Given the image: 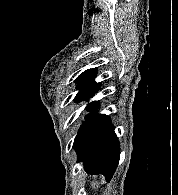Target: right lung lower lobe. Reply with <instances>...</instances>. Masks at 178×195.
<instances>
[{
	"label": "right lung lower lobe",
	"instance_id": "right-lung-lower-lobe-1",
	"mask_svg": "<svg viewBox=\"0 0 178 195\" xmlns=\"http://www.w3.org/2000/svg\"><path fill=\"white\" fill-rule=\"evenodd\" d=\"M99 104L95 102L75 137L73 148L77 162H83L91 174H103L110 181L118 166L120 143L108 116L97 114Z\"/></svg>",
	"mask_w": 178,
	"mask_h": 195
}]
</instances>
